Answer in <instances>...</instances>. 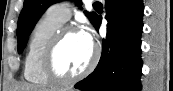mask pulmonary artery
Instances as JSON below:
<instances>
[{
  "label": "pulmonary artery",
  "mask_w": 173,
  "mask_h": 91,
  "mask_svg": "<svg viewBox=\"0 0 173 91\" xmlns=\"http://www.w3.org/2000/svg\"><path fill=\"white\" fill-rule=\"evenodd\" d=\"M50 12L62 23L71 17L70 5L67 2H60L50 7Z\"/></svg>",
  "instance_id": "obj_1"
}]
</instances>
